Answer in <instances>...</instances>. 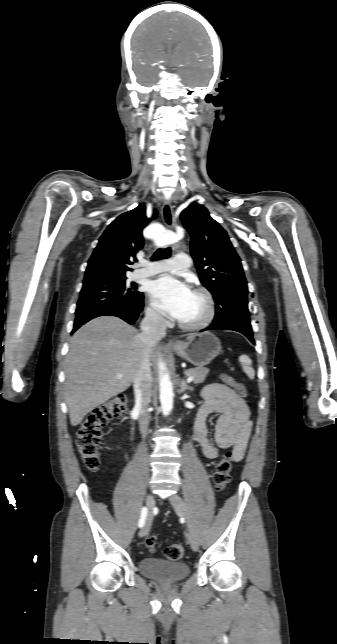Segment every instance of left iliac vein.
Returning <instances> with one entry per match:
<instances>
[{"instance_id":"obj_1","label":"left iliac vein","mask_w":337,"mask_h":644,"mask_svg":"<svg viewBox=\"0 0 337 644\" xmlns=\"http://www.w3.org/2000/svg\"><path fill=\"white\" fill-rule=\"evenodd\" d=\"M170 503L174 507L175 511L186 519L188 527V541L191 545V548L194 551H197L199 548V538L193 521L191 519L190 513L188 511L187 505L184 500L178 495L174 494L170 498Z\"/></svg>"}]
</instances>
